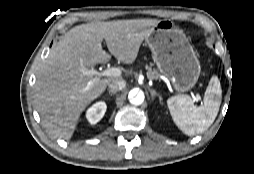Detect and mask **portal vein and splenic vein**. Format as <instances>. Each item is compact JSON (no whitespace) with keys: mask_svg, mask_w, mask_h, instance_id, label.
<instances>
[{"mask_svg":"<svg viewBox=\"0 0 254 174\" xmlns=\"http://www.w3.org/2000/svg\"><path fill=\"white\" fill-rule=\"evenodd\" d=\"M83 73L86 74V75H90V76H96V78H94L91 82L88 83V85L86 87V90H88L101 77H104V76L105 77H119L122 74L121 69L116 68V67L106 68L102 72H98L94 69L84 70ZM196 100H199L198 95H196Z\"/></svg>","mask_w":254,"mask_h":174,"instance_id":"portal-vein-and-splenic-vein-1","label":"portal vein and splenic vein"}]
</instances>
